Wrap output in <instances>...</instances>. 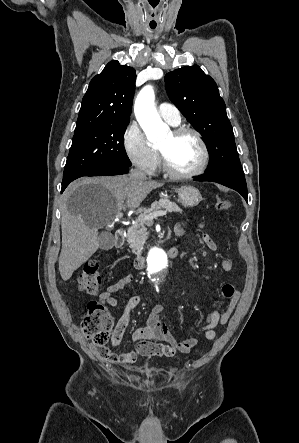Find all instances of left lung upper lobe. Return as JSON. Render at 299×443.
<instances>
[{
	"instance_id": "obj_1",
	"label": "left lung upper lobe",
	"mask_w": 299,
	"mask_h": 443,
	"mask_svg": "<svg viewBox=\"0 0 299 443\" xmlns=\"http://www.w3.org/2000/svg\"><path fill=\"white\" fill-rule=\"evenodd\" d=\"M165 82L170 100L207 143L210 159L206 173L243 174L232 126L215 81L194 65L167 73Z\"/></svg>"
}]
</instances>
